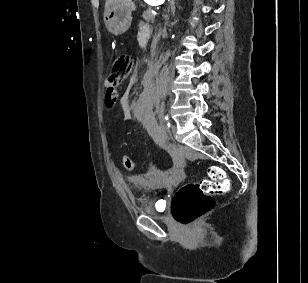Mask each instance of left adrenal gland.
<instances>
[{"mask_svg": "<svg viewBox=\"0 0 308 283\" xmlns=\"http://www.w3.org/2000/svg\"><path fill=\"white\" fill-rule=\"evenodd\" d=\"M170 1V5L174 6V0H169Z\"/></svg>", "mask_w": 308, "mask_h": 283, "instance_id": "obj_1", "label": "left adrenal gland"}]
</instances>
